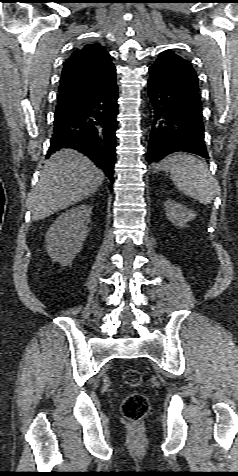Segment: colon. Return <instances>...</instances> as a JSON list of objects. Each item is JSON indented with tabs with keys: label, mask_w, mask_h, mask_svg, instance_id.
Here are the masks:
<instances>
[{
	"label": "colon",
	"mask_w": 238,
	"mask_h": 476,
	"mask_svg": "<svg viewBox=\"0 0 238 476\" xmlns=\"http://www.w3.org/2000/svg\"><path fill=\"white\" fill-rule=\"evenodd\" d=\"M123 382L132 388L139 387L142 383V375L137 369H127L123 373ZM148 409L149 401L147 397L141 393L128 395L122 403V414L131 422L140 421Z\"/></svg>",
	"instance_id": "obj_1"
}]
</instances>
